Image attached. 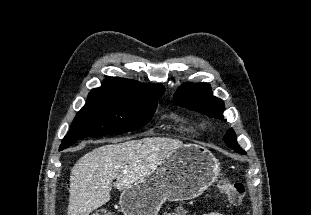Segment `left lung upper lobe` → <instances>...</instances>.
Returning a JSON list of instances; mask_svg holds the SVG:
<instances>
[{"mask_svg": "<svg viewBox=\"0 0 311 215\" xmlns=\"http://www.w3.org/2000/svg\"><path fill=\"white\" fill-rule=\"evenodd\" d=\"M174 102L185 108L223 119L224 103L212 95L211 87L207 83L184 84L174 94ZM228 147L238 153L246 154L239 145L234 130L231 128L223 137Z\"/></svg>", "mask_w": 311, "mask_h": 215, "instance_id": "obj_1", "label": "left lung upper lobe"}]
</instances>
